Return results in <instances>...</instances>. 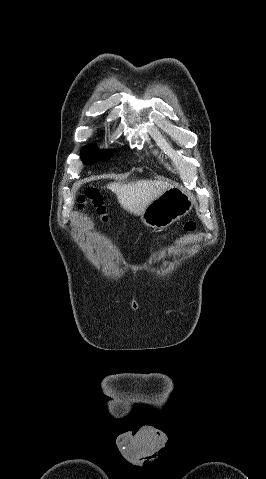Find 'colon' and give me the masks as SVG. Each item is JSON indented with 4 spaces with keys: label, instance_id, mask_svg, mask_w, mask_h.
Instances as JSON below:
<instances>
[{
    "label": "colon",
    "instance_id": "colon-1",
    "mask_svg": "<svg viewBox=\"0 0 266 479\" xmlns=\"http://www.w3.org/2000/svg\"><path fill=\"white\" fill-rule=\"evenodd\" d=\"M78 208L80 211H93L101 224L108 222L106 209L103 205L102 197L96 189H89L78 198ZM196 229V223L189 221L184 225V232H193Z\"/></svg>",
    "mask_w": 266,
    "mask_h": 479
}]
</instances>
